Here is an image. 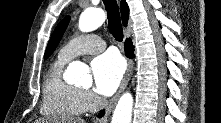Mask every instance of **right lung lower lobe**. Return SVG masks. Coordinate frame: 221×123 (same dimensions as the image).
Listing matches in <instances>:
<instances>
[{
    "label": "right lung lower lobe",
    "instance_id": "1",
    "mask_svg": "<svg viewBox=\"0 0 221 123\" xmlns=\"http://www.w3.org/2000/svg\"><path fill=\"white\" fill-rule=\"evenodd\" d=\"M124 46H125V54H126V56L130 57V58H133V56H134V48H133L131 39H126ZM103 114H104V111H102L99 114V116L101 117V116H103Z\"/></svg>",
    "mask_w": 221,
    "mask_h": 123
}]
</instances>
